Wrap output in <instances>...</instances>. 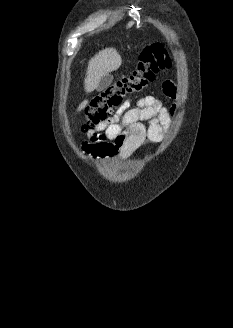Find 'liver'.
<instances>
[{
	"label": "liver",
	"instance_id": "liver-1",
	"mask_svg": "<svg viewBox=\"0 0 233 328\" xmlns=\"http://www.w3.org/2000/svg\"><path fill=\"white\" fill-rule=\"evenodd\" d=\"M122 64V59L115 48H106L97 53L88 62L84 88L87 93L97 89L102 76L116 71ZM88 101L84 100L78 107V111L84 109Z\"/></svg>",
	"mask_w": 233,
	"mask_h": 328
}]
</instances>
